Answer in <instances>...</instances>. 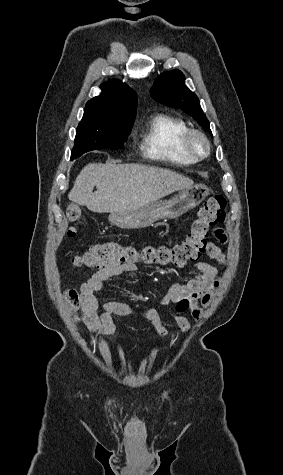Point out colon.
Wrapping results in <instances>:
<instances>
[{
	"instance_id": "obj_1",
	"label": "colon",
	"mask_w": 283,
	"mask_h": 475,
	"mask_svg": "<svg viewBox=\"0 0 283 475\" xmlns=\"http://www.w3.org/2000/svg\"><path fill=\"white\" fill-rule=\"evenodd\" d=\"M66 216L70 223H77L83 219L81 209L74 205L67 209ZM225 218V197L221 194L213 195L199 208L185 239L173 244V246L161 245L157 248L144 247L138 250L130 245L97 244L89 247L81 255L69 254L68 257L85 267L98 268L108 265H124L130 268L139 261L145 264L183 267L186 263L199 259L200 254L206 249L209 230L215 227L216 224L222 223ZM69 232L75 233V229L70 227ZM215 234L218 233L215 232ZM68 297L71 299L72 305L81 304V299L76 298L77 292L75 290H70ZM188 302V299H182L180 306L174 307V312L181 313L182 307H187Z\"/></svg>"
}]
</instances>
